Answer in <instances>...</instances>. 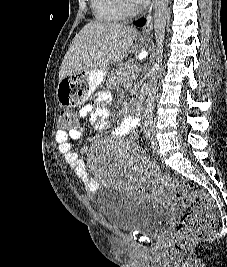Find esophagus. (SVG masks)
Instances as JSON below:
<instances>
[{"instance_id":"1","label":"esophagus","mask_w":227,"mask_h":267,"mask_svg":"<svg viewBox=\"0 0 227 267\" xmlns=\"http://www.w3.org/2000/svg\"><path fill=\"white\" fill-rule=\"evenodd\" d=\"M154 0L151 1L148 11L146 13V23L143 27L142 34L144 36H149L153 28V10H154Z\"/></svg>"}]
</instances>
